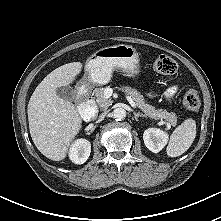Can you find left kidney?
I'll use <instances>...</instances> for the list:
<instances>
[{
  "label": "left kidney",
  "mask_w": 221,
  "mask_h": 221,
  "mask_svg": "<svg viewBox=\"0 0 221 221\" xmlns=\"http://www.w3.org/2000/svg\"><path fill=\"white\" fill-rule=\"evenodd\" d=\"M143 140L150 151L158 153L167 144L168 134L157 128H148L144 131Z\"/></svg>",
  "instance_id": "left-kidney-1"
}]
</instances>
